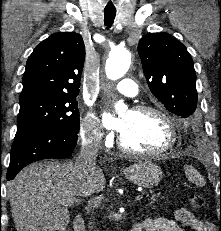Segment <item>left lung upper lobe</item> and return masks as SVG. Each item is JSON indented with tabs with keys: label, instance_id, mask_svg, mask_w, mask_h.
Here are the masks:
<instances>
[{
	"label": "left lung upper lobe",
	"instance_id": "1",
	"mask_svg": "<svg viewBox=\"0 0 221 231\" xmlns=\"http://www.w3.org/2000/svg\"><path fill=\"white\" fill-rule=\"evenodd\" d=\"M138 53L151 92L172 113L187 118L197 106L196 74L186 47L167 33L144 36Z\"/></svg>",
	"mask_w": 221,
	"mask_h": 231
}]
</instances>
